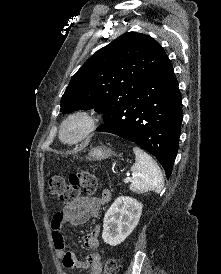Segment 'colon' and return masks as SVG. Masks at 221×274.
Returning <instances> with one entry per match:
<instances>
[{
  "mask_svg": "<svg viewBox=\"0 0 221 274\" xmlns=\"http://www.w3.org/2000/svg\"><path fill=\"white\" fill-rule=\"evenodd\" d=\"M48 187L51 194L56 195L62 202L70 203L78 198L81 192L92 194L96 190V178L90 174H72L65 178L58 174L50 175ZM117 262L108 258L104 264V274H117Z\"/></svg>",
  "mask_w": 221,
  "mask_h": 274,
  "instance_id": "colon-1",
  "label": "colon"
}]
</instances>
